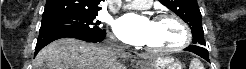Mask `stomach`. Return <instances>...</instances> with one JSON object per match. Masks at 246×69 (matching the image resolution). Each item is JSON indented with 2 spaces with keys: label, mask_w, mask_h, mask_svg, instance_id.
Segmentation results:
<instances>
[{
  "label": "stomach",
  "mask_w": 246,
  "mask_h": 69,
  "mask_svg": "<svg viewBox=\"0 0 246 69\" xmlns=\"http://www.w3.org/2000/svg\"><path fill=\"white\" fill-rule=\"evenodd\" d=\"M136 69H183L173 57H157L150 61L138 62Z\"/></svg>",
  "instance_id": "1"
}]
</instances>
